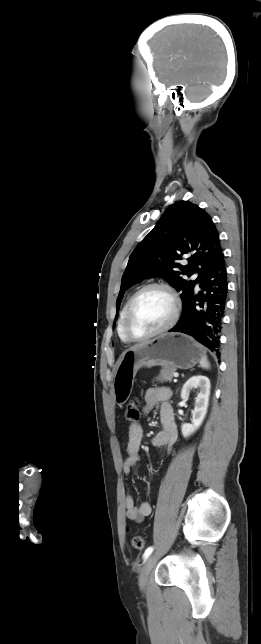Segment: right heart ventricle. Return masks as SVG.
I'll return each mask as SVG.
<instances>
[{
  "mask_svg": "<svg viewBox=\"0 0 261 644\" xmlns=\"http://www.w3.org/2000/svg\"><path fill=\"white\" fill-rule=\"evenodd\" d=\"M129 300H130V297L124 303V306H123V308L121 310V313H120V317H119V321H118V328H117L118 336H119L120 340L125 344H129L131 342L130 340H128L126 338V336H125V334L123 332V318H124V314H125V311H126V308H127Z\"/></svg>",
  "mask_w": 261,
  "mask_h": 644,
  "instance_id": "1",
  "label": "right heart ventricle"
}]
</instances>
